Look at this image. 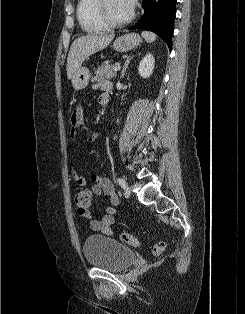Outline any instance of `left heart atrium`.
Returning <instances> with one entry per match:
<instances>
[{
	"label": "left heart atrium",
	"mask_w": 245,
	"mask_h": 314,
	"mask_svg": "<svg viewBox=\"0 0 245 314\" xmlns=\"http://www.w3.org/2000/svg\"><path fill=\"white\" fill-rule=\"evenodd\" d=\"M129 8H133L134 0H123Z\"/></svg>",
	"instance_id": "1"
}]
</instances>
